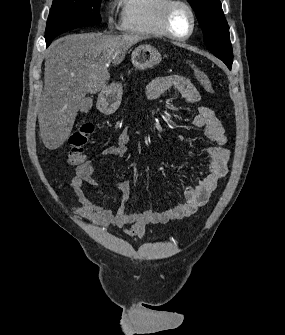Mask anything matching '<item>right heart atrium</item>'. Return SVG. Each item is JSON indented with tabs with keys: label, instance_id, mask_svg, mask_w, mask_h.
Wrapping results in <instances>:
<instances>
[{
	"label": "right heart atrium",
	"instance_id": "right-heart-atrium-1",
	"mask_svg": "<svg viewBox=\"0 0 285 335\" xmlns=\"http://www.w3.org/2000/svg\"><path fill=\"white\" fill-rule=\"evenodd\" d=\"M114 18H115V12H114V10L111 9L106 13V19H107L108 23L111 24V23H113Z\"/></svg>",
	"mask_w": 285,
	"mask_h": 335
}]
</instances>
